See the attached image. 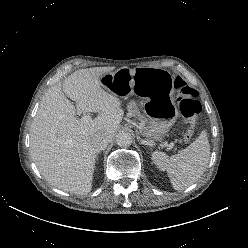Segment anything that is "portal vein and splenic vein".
<instances>
[{
  "instance_id": "portal-vein-and-splenic-vein-1",
  "label": "portal vein and splenic vein",
  "mask_w": 248,
  "mask_h": 248,
  "mask_svg": "<svg viewBox=\"0 0 248 248\" xmlns=\"http://www.w3.org/2000/svg\"><path fill=\"white\" fill-rule=\"evenodd\" d=\"M90 119H91V117H90L89 115H84V116L82 117V120H83L84 122H88Z\"/></svg>"
}]
</instances>
